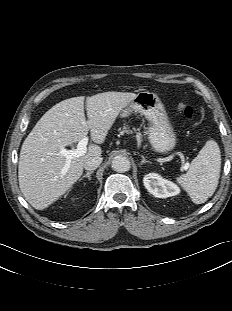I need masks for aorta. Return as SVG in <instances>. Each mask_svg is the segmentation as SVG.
Returning <instances> with one entry per match:
<instances>
[{"label":"aorta","instance_id":"762f6f07","mask_svg":"<svg viewBox=\"0 0 232 311\" xmlns=\"http://www.w3.org/2000/svg\"><path fill=\"white\" fill-rule=\"evenodd\" d=\"M131 164L127 157L123 155L115 156L112 160V168L116 172L124 173L130 170Z\"/></svg>","mask_w":232,"mask_h":311}]
</instances>
